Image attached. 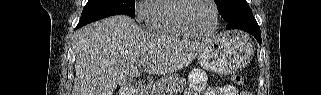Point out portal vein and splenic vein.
<instances>
[{
	"mask_svg": "<svg viewBox=\"0 0 321 95\" xmlns=\"http://www.w3.org/2000/svg\"><path fill=\"white\" fill-rule=\"evenodd\" d=\"M145 65V61L141 60L140 63L138 64L139 67H142Z\"/></svg>",
	"mask_w": 321,
	"mask_h": 95,
	"instance_id": "portal-vein-and-splenic-vein-1",
	"label": "portal vein and splenic vein"
}]
</instances>
